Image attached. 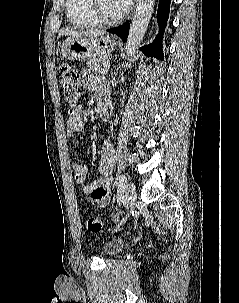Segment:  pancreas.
I'll list each match as a JSON object with an SVG mask.
<instances>
[{
    "label": "pancreas",
    "mask_w": 239,
    "mask_h": 303,
    "mask_svg": "<svg viewBox=\"0 0 239 303\" xmlns=\"http://www.w3.org/2000/svg\"><path fill=\"white\" fill-rule=\"evenodd\" d=\"M107 61H109L107 56H100L89 60L87 66L97 73L106 74L108 69L104 66V63Z\"/></svg>",
    "instance_id": "1"
}]
</instances>
